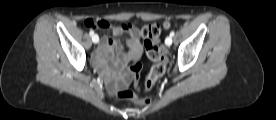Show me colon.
<instances>
[{"instance_id":"5ec220e1","label":"colon","mask_w":276,"mask_h":120,"mask_svg":"<svg viewBox=\"0 0 276 120\" xmlns=\"http://www.w3.org/2000/svg\"><path fill=\"white\" fill-rule=\"evenodd\" d=\"M85 26L96 27L97 22L88 19L85 21ZM163 26L164 28H168L169 22H165ZM140 34L144 39V46L146 49L147 56L149 57V59L155 62L148 76L146 77L143 86L144 91H149L154 87L158 79L165 73L168 61L160 44L161 27L158 24L145 25L141 29ZM141 69L142 64L138 61H135L130 65V70L133 75L134 82L138 87ZM117 97L122 100H132L140 106H146L150 103L149 98H139L129 90H120L117 93Z\"/></svg>"}]
</instances>
